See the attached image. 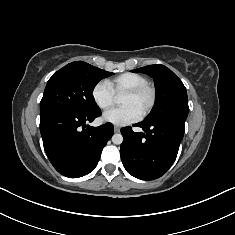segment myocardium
Masks as SVG:
<instances>
[{"mask_svg": "<svg viewBox=\"0 0 235 235\" xmlns=\"http://www.w3.org/2000/svg\"><path fill=\"white\" fill-rule=\"evenodd\" d=\"M143 93L148 94V103L143 109V111L141 112L140 118L146 117L155 106L156 97H157L155 87L151 85L150 83H145V84H141L139 86H136V87H133L124 91V94L130 95V96H139Z\"/></svg>", "mask_w": 235, "mask_h": 235, "instance_id": "obj_1", "label": "myocardium"}]
</instances>
